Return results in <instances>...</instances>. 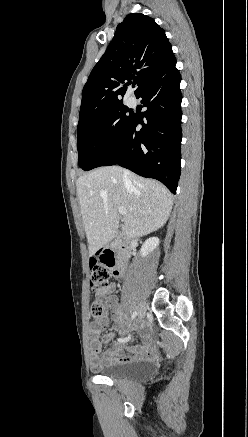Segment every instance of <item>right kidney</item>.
I'll return each mask as SVG.
<instances>
[{
	"label": "right kidney",
	"instance_id": "obj_1",
	"mask_svg": "<svg viewBox=\"0 0 248 437\" xmlns=\"http://www.w3.org/2000/svg\"><path fill=\"white\" fill-rule=\"evenodd\" d=\"M159 245V239L157 237H152L147 239L141 247V256L146 257L150 252H152Z\"/></svg>",
	"mask_w": 248,
	"mask_h": 437
}]
</instances>
